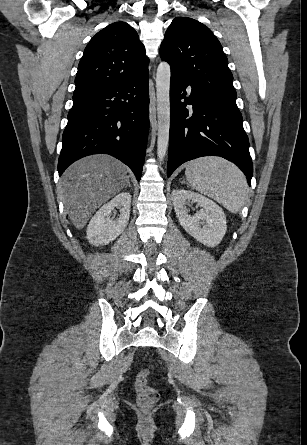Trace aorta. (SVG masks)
<instances>
[{"label": "aorta", "instance_id": "aorta-1", "mask_svg": "<svg viewBox=\"0 0 307 445\" xmlns=\"http://www.w3.org/2000/svg\"><path fill=\"white\" fill-rule=\"evenodd\" d=\"M170 76L168 62H160L156 72V96L158 116L157 156L163 160L168 148L170 128Z\"/></svg>", "mask_w": 307, "mask_h": 445}]
</instances>
